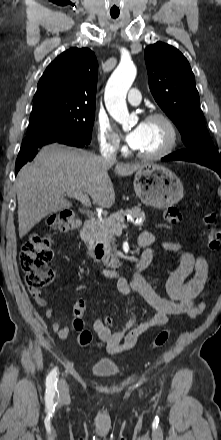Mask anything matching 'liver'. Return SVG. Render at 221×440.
<instances>
[{"mask_svg":"<svg viewBox=\"0 0 221 440\" xmlns=\"http://www.w3.org/2000/svg\"><path fill=\"white\" fill-rule=\"evenodd\" d=\"M142 163H110L92 152L57 143L44 146L34 161L17 175L19 237H24L51 213L70 208L67 192L88 193L103 208L115 202L113 183L108 170L129 176Z\"/></svg>","mask_w":221,"mask_h":440,"instance_id":"liver-1","label":"liver"}]
</instances>
